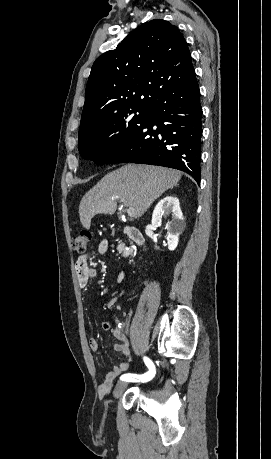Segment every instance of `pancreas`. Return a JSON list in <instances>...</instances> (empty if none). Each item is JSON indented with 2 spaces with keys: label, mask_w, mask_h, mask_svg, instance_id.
<instances>
[{
  "label": "pancreas",
  "mask_w": 271,
  "mask_h": 459,
  "mask_svg": "<svg viewBox=\"0 0 271 459\" xmlns=\"http://www.w3.org/2000/svg\"><path fill=\"white\" fill-rule=\"evenodd\" d=\"M119 253H123V255H128L130 249H125V243H119L117 247Z\"/></svg>",
  "instance_id": "obj_1"
}]
</instances>
